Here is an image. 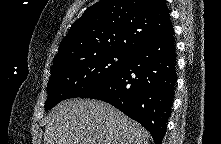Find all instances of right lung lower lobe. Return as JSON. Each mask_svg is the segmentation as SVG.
I'll return each mask as SVG.
<instances>
[{"instance_id": "right-lung-lower-lobe-1", "label": "right lung lower lobe", "mask_w": 221, "mask_h": 144, "mask_svg": "<svg viewBox=\"0 0 221 144\" xmlns=\"http://www.w3.org/2000/svg\"><path fill=\"white\" fill-rule=\"evenodd\" d=\"M174 29L134 50L109 80L80 96L103 100L139 122L161 144L174 99Z\"/></svg>"}]
</instances>
